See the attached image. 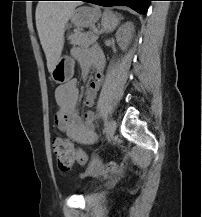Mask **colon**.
Segmentation results:
<instances>
[{
  "label": "colon",
  "instance_id": "obj_1",
  "mask_svg": "<svg viewBox=\"0 0 202 217\" xmlns=\"http://www.w3.org/2000/svg\"><path fill=\"white\" fill-rule=\"evenodd\" d=\"M53 152L57 160L58 168L61 171H69L74 161L81 165L87 163V157L81 149L72 146L69 140L65 138H56L53 142ZM121 169V165L116 162L105 164L101 170L107 172H116Z\"/></svg>",
  "mask_w": 202,
  "mask_h": 217
}]
</instances>
